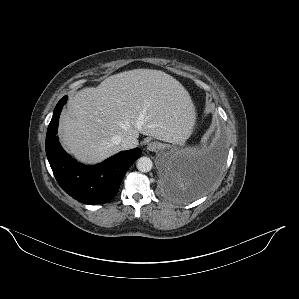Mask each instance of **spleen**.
I'll use <instances>...</instances> for the list:
<instances>
[{
	"instance_id": "spleen-1",
	"label": "spleen",
	"mask_w": 299,
	"mask_h": 299,
	"mask_svg": "<svg viewBox=\"0 0 299 299\" xmlns=\"http://www.w3.org/2000/svg\"><path fill=\"white\" fill-rule=\"evenodd\" d=\"M185 151H187L189 153H193L195 151V148H193V147H187V148H185Z\"/></svg>"
}]
</instances>
